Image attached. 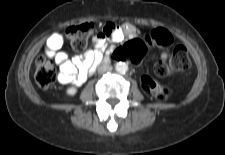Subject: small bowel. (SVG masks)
<instances>
[{"label": "small bowel", "instance_id": "obj_1", "mask_svg": "<svg viewBox=\"0 0 225 155\" xmlns=\"http://www.w3.org/2000/svg\"><path fill=\"white\" fill-rule=\"evenodd\" d=\"M130 32H132L131 27L117 28L113 23H107L101 31L94 35L93 44L95 50L88 51L83 56L72 59L61 50L63 45L62 36L54 33L47 39L45 52L59 66L58 79L60 83L80 86L101 59V50L105 47L106 42L108 40L119 41L124 34ZM167 58L168 54L163 52L161 60L165 62Z\"/></svg>", "mask_w": 225, "mask_h": 155}]
</instances>
